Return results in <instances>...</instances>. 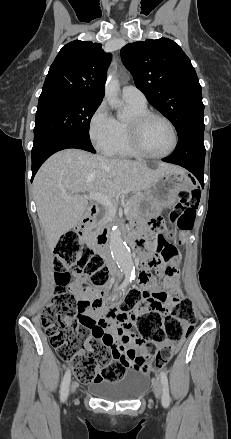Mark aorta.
<instances>
[{
    "label": "aorta",
    "mask_w": 231,
    "mask_h": 439,
    "mask_svg": "<svg viewBox=\"0 0 231 439\" xmlns=\"http://www.w3.org/2000/svg\"><path fill=\"white\" fill-rule=\"evenodd\" d=\"M119 81L115 72H111L108 75L105 85V98L110 106H120L118 99L119 94ZM118 118L122 117V112L118 109ZM110 249L111 254L121 271L127 276L132 277L135 273V266L132 260L130 249L123 241L120 229L116 226L110 232Z\"/></svg>",
    "instance_id": "1"
}]
</instances>
